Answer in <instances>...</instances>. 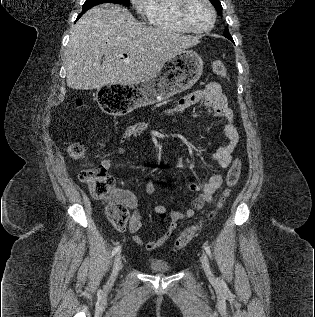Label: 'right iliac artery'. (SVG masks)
I'll return each mask as SVG.
<instances>
[{
	"label": "right iliac artery",
	"mask_w": 315,
	"mask_h": 317,
	"mask_svg": "<svg viewBox=\"0 0 315 317\" xmlns=\"http://www.w3.org/2000/svg\"><path fill=\"white\" fill-rule=\"evenodd\" d=\"M121 251V246H116L112 251V257Z\"/></svg>",
	"instance_id": "right-iliac-artery-1"
}]
</instances>
